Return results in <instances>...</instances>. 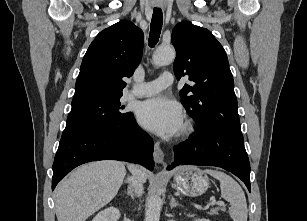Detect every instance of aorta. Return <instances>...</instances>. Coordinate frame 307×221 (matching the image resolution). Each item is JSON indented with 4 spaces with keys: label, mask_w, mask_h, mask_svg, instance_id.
I'll use <instances>...</instances> for the list:
<instances>
[{
    "label": "aorta",
    "mask_w": 307,
    "mask_h": 221,
    "mask_svg": "<svg viewBox=\"0 0 307 221\" xmlns=\"http://www.w3.org/2000/svg\"><path fill=\"white\" fill-rule=\"evenodd\" d=\"M176 56L174 48L160 46L153 54V63L156 66H164L174 61ZM162 201L158 194L152 193L148 198L145 221H159Z\"/></svg>",
    "instance_id": "762f6f07"
}]
</instances>
